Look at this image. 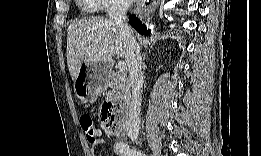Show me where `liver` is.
<instances>
[{"label":"liver","mask_w":261,"mask_h":156,"mask_svg":"<svg viewBox=\"0 0 261 156\" xmlns=\"http://www.w3.org/2000/svg\"><path fill=\"white\" fill-rule=\"evenodd\" d=\"M125 49L122 31L107 18L90 17L72 23L67 31V64L72 80L77 79L83 63H108L114 55L124 57Z\"/></svg>","instance_id":"1"}]
</instances>
